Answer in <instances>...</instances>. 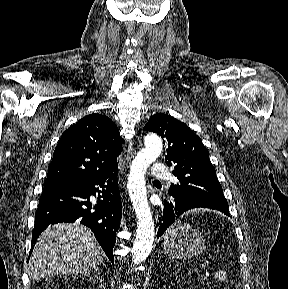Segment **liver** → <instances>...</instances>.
I'll list each match as a JSON object with an SVG mask.
<instances>
[{
    "label": "liver",
    "mask_w": 288,
    "mask_h": 289,
    "mask_svg": "<svg viewBox=\"0 0 288 289\" xmlns=\"http://www.w3.org/2000/svg\"><path fill=\"white\" fill-rule=\"evenodd\" d=\"M105 254L91 231L81 224L61 223L46 229L38 238L29 261V276L88 273Z\"/></svg>",
    "instance_id": "1"
}]
</instances>
